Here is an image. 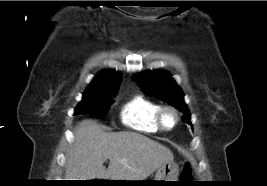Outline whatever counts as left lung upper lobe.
<instances>
[{"label": "left lung upper lobe", "mask_w": 267, "mask_h": 186, "mask_svg": "<svg viewBox=\"0 0 267 186\" xmlns=\"http://www.w3.org/2000/svg\"><path fill=\"white\" fill-rule=\"evenodd\" d=\"M133 80L141 90L160 100L168 102L179 111L183 112L182 121L191 124L190 113L184 102L182 90L166 71H145L133 76Z\"/></svg>", "instance_id": "1"}]
</instances>
